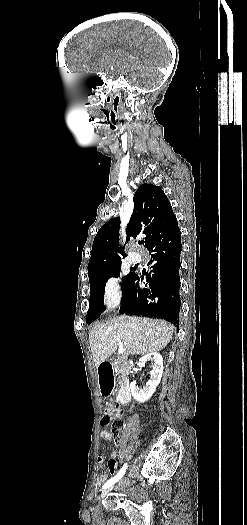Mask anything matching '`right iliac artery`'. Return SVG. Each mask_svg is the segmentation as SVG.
Returning <instances> with one entry per match:
<instances>
[{"mask_svg":"<svg viewBox=\"0 0 247 525\" xmlns=\"http://www.w3.org/2000/svg\"><path fill=\"white\" fill-rule=\"evenodd\" d=\"M127 469V464H124L122 466V468L120 469V471L118 472V474L116 476H114L113 478H111L110 480H108L102 487V489H106L110 486H112L114 483H116L125 473Z\"/></svg>","mask_w":247,"mask_h":525,"instance_id":"right-iliac-artery-1","label":"right iliac artery"}]
</instances>
